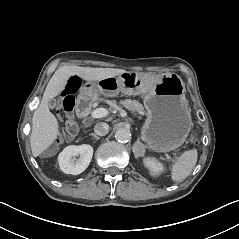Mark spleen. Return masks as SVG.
<instances>
[{"label":"spleen","instance_id":"obj_1","mask_svg":"<svg viewBox=\"0 0 239 239\" xmlns=\"http://www.w3.org/2000/svg\"><path fill=\"white\" fill-rule=\"evenodd\" d=\"M197 157L198 154L195 149L184 152L172 166V179L174 181L185 179L193 170Z\"/></svg>","mask_w":239,"mask_h":239}]
</instances>
